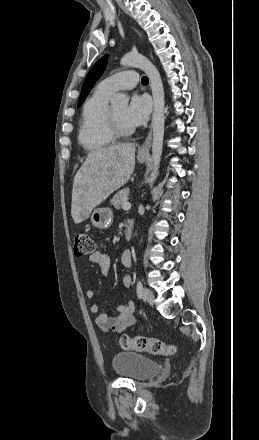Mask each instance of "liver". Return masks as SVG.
<instances>
[{"label":"liver","mask_w":259,"mask_h":440,"mask_svg":"<svg viewBox=\"0 0 259 440\" xmlns=\"http://www.w3.org/2000/svg\"><path fill=\"white\" fill-rule=\"evenodd\" d=\"M135 144L121 143L90 152L75 175L71 215L75 224L130 179L135 167Z\"/></svg>","instance_id":"liver-1"}]
</instances>
